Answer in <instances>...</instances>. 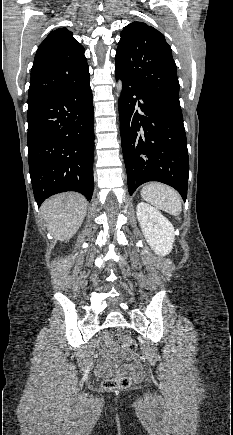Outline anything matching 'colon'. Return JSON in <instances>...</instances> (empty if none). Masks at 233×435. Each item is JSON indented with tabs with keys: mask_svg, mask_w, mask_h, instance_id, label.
<instances>
[{
	"mask_svg": "<svg viewBox=\"0 0 233 435\" xmlns=\"http://www.w3.org/2000/svg\"><path fill=\"white\" fill-rule=\"evenodd\" d=\"M104 337H108L107 333H104ZM113 344L119 345L124 351L132 352L135 350V342L129 335H116L112 337ZM131 383V376L128 374H121L114 378L105 379L103 386L110 390H122L126 389Z\"/></svg>",
	"mask_w": 233,
	"mask_h": 435,
	"instance_id": "1",
	"label": "colon"
}]
</instances>
